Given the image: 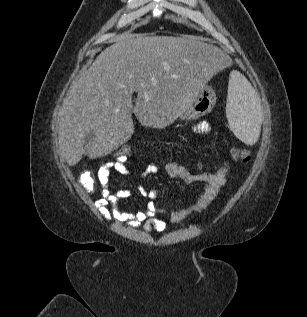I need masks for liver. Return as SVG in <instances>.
I'll return each mask as SVG.
<instances>
[{
	"label": "liver",
	"mask_w": 307,
	"mask_h": 317,
	"mask_svg": "<svg viewBox=\"0 0 307 317\" xmlns=\"http://www.w3.org/2000/svg\"><path fill=\"white\" fill-rule=\"evenodd\" d=\"M223 48L192 35H123L74 82L59 112V152L69 166L86 152L109 154L134 132L132 113L146 127L180 117L207 78L227 66ZM138 93L135 106L132 95ZM92 142L87 147V136Z\"/></svg>",
	"instance_id": "liver-1"
}]
</instances>
